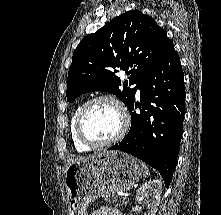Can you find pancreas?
Instances as JSON below:
<instances>
[{
    "instance_id": "cf45deb5",
    "label": "pancreas",
    "mask_w": 221,
    "mask_h": 215,
    "mask_svg": "<svg viewBox=\"0 0 221 215\" xmlns=\"http://www.w3.org/2000/svg\"><path fill=\"white\" fill-rule=\"evenodd\" d=\"M121 200H123L122 197L114 196L112 199H106V201L110 204L115 205L116 207L121 206Z\"/></svg>"
}]
</instances>
